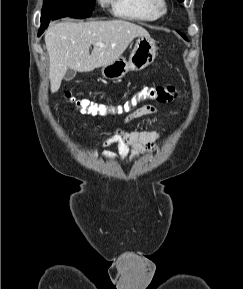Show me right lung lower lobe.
<instances>
[{"instance_id": "1", "label": "right lung lower lobe", "mask_w": 243, "mask_h": 289, "mask_svg": "<svg viewBox=\"0 0 243 289\" xmlns=\"http://www.w3.org/2000/svg\"><path fill=\"white\" fill-rule=\"evenodd\" d=\"M56 19H59V17L54 18V19H43V18H41V28L39 29L38 36H40L44 32V30L47 28L48 24L51 21L56 20Z\"/></svg>"}]
</instances>
